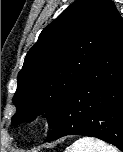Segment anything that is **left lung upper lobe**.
Wrapping results in <instances>:
<instances>
[{"label":"left lung upper lobe","instance_id":"obj_1","mask_svg":"<svg viewBox=\"0 0 123 152\" xmlns=\"http://www.w3.org/2000/svg\"><path fill=\"white\" fill-rule=\"evenodd\" d=\"M119 19L110 0H77L45 27L18 74L12 125L44 114L52 128L62 101Z\"/></svg>","mask_w":123,"mask_h":152}]
</instances>
